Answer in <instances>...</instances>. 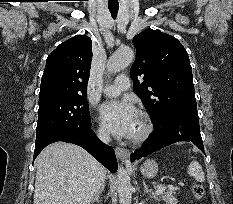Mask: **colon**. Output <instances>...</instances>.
I'll use <instances>...</instances> for the list:
<instances>
[{"instance_id":"obj_1","label":"colon","mask_w":233,"mask_h":204,"mask_svg":"<svg viewBox=\"0 0 233 204\" xmlns=\"http://www.w3.org/2000/svg\"><path fill=\"white\" fill-rule=\"evenodd\" d=\"M191 190H192V194L195 200L197 201L202 200V198L204 197L205 191L201 184L199 183L192 184Z\"/></svg>"}]
</instances>
